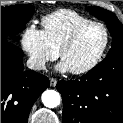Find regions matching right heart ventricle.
I'll list each match as a JSON object with an SVG mask.
<instances>
[{"label": "right heart ventricle", "instance_id": "obj_1", "mask_svg": "<svg viewBox=\"0 0 123 123\" xmlns=\"http://www.w3.org/2000/svg\"><path fill=\"white\" fill-rule=\"evenodd\" d=\"M91 21L76 11L59 9L43 16L41 25L49 45L58 52L63 43L78 27Z\"/></svg>", "mask_w": 123, "mask_h": 123}]
</instances>
